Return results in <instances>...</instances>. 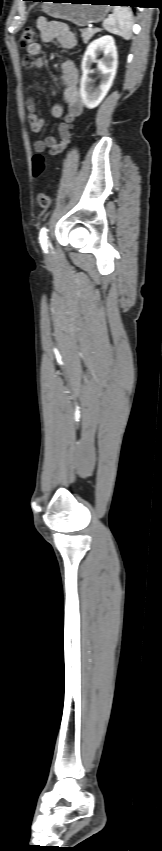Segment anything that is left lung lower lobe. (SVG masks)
Segmentation results:
<instances>
[{
  "instance_id": "1",
  "label": "left lung lower lobe",
  "mask_w": 162,
  "mask_h": 851,
  "mask_svg": "<svg viewBox=\"0 0 162 851\" xmlns=\"http://www.w3.org/2000/svg\"><path fill=\"white\" fill-rule=\"evenodd\" d=\"M34 1H43V0H34ZM107 3L111 5H122V6H130L133 7L132 4L135 2L133 0H107Z\"/></svg>"
}]
</instances>
